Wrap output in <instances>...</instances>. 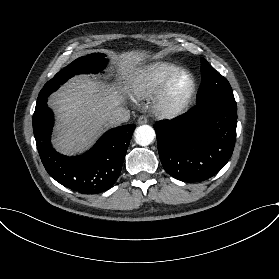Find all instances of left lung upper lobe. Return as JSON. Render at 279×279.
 <instances>
[{"mask_svg": "<svg viewBox=\"0 0 279 279\" xmlns=\"http://www.w3.org/2000/svg\"><path fill=\"white\" fill-rule=\"evenodd\" d=\"M201 79L196 104L217 100L236 105L228 80L221 76L204 58L201 59Z\"/></svg>", "mask_w": 279, "mask_h": 279, "instance_id": "obj_1", "label": "left lung upper lobe"}]
</instances>
